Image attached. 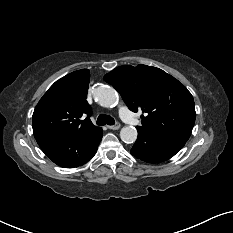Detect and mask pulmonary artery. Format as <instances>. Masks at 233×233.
I'll list each match as a JSON object with an SVG mask.
<instances>
[{"instance_id":"pulmonary-artery-1","label":"pulmonary artery","mask_w":233,"mask_h":233,"mask_svg":"<svg viewBox=\"0 0 233 233\" xmlns=\"http://www.w3.org/2000/svg\"><path fill=\"white\" fill-rule=\"evenodd\" d=\"M119 114H120V117L128 124L130 125H137L138 124V120L135 119L130 110L126 107V106H122L119 110Z\"/></svg>"}]
</instances>
